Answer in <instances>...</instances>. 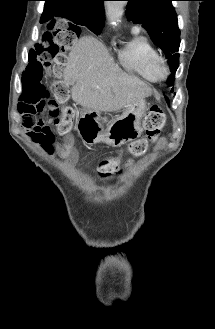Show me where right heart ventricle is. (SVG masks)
<instances>
[{
	"label": "right heart ventricle",
	"instance_id": "obj_1",
	"mask_svg": "<svg viewBox=\"0 0 215 329\" xmlns=\"http://www.w3.org/2000/svg\"><path fill=\"white\" fill-rule=\"evenodd\" d=\"M161 55L150 39L138 30L118 51V61L128 72L134 73L149 82L161 80L158 64Z\"/></svg>",
	"mask_w": 215,
	"mask_h": 329
}]
</instances>
